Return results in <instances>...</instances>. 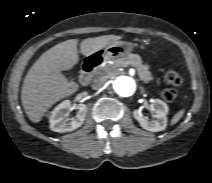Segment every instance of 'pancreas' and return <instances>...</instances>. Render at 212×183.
Here are the masks:
<instances>
[{"instance_id": "cf45deb5", "label": "pancreas", "mask_w": 212, "mask_h": 183, "mask_svg": "<svg viewBox=\"0 0 212 183\" xmlns=\"http://www.w3.org/2000/svg\"><path fill=\"white\" fill-rule=\"evenodd\" d=\"M133 66L137 69L139 78L144 83H149L153 80V76L149 71V65L143 64L141 57L137 54H128L125 57L117 58L113 60V64L105 66L106 72L115 71L119 67Z\"/></svg>"}]
</instances>
